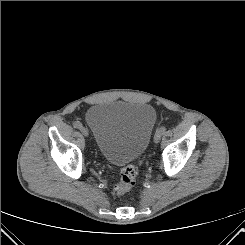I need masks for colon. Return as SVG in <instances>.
<instances>
[{
	"mask_svg": "<svg viewBox=\"0 0 245 245\" xmlns=\"http://www.w3.org/2000/svg\"><path fill=\"white\" fill-rule=\"evenodd\" d=\"M138 174V168L135 164H129L122 168L119 181L114 185L112 194L120 197L132 189Z\"/></svg>",
	"mask_w": 245,
	"mask_h": 245,
	"instance_id": "obj_1",
	"label": "colon"
}]
</instances>
